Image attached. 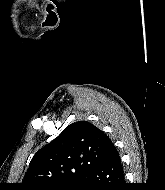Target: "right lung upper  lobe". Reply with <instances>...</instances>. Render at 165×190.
Instances as JSON below:
<instances>
[{
  "label": "right lung upper lobe",
  "instance_id": "right-lung-upper-lobe-1",
  "mask_svg": "<svg viewBox=\"0 0 165 190\" xmlns=\"http://www.w3.org/2000/svg\"><path fill=\"white\" fill-rule=\"evenodd\" d=\"M118 154L109 137L89 122L69 125L38 150L26 172L22 190H52L81 180L82 175Z\"/></svg>",
  "mask_w": 165,
  "mask_h": 190
}]
</instances>
